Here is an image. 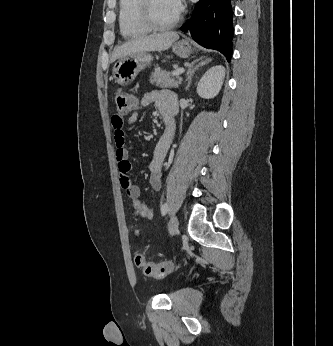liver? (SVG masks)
Instances as JSON below:
<instances>
[{
    "label": "liver",
    "mask_w": 333,
    "mask_h": 346,
    "mask_svg": "<svg viewBox=\"0 0 333 346\" xmlns=\"http://www.w3.org/2000/svg\"><path fill=\"white\" fill-rule=\"evenodd\" d=\"M178 39L179 35L176 32H166L140 37L117 47L113 52L112 60L140 52L164 51L170 48Z\"/></svg>",
    "instance_id": "liver-1"
}]
</instances>
